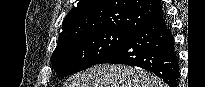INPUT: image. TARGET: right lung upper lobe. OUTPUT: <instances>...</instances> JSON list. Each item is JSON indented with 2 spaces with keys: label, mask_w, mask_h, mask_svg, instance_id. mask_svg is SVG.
Wrapping results in <instances>:
<instances>
[{
  "label": "right lung upper lobe",
  "mask_w": 205,
  "mask_h": 87,
  "mask_svg": "<svg viewBox=\"0 0 205 87\" xmlns=\"http://www.w3.org/2000/svg\"><path fill=\"white\" fill-rule=\"evenodd\" d=\"M161 15L160 0H80L64 18L58 42L102 29L133 32Z\"/></svg>",
  "instance_id": "1"
}]
</instances>
